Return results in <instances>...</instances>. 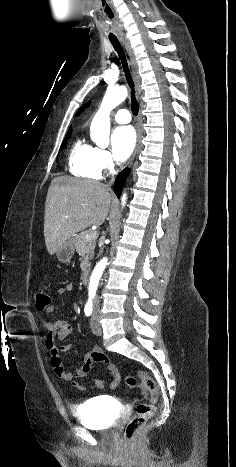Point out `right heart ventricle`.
Wrapping results in <instances>:
<instances>
[{"label": "right heart ventricle", "mask_w": 236, "mask_h": 467, "mask_svg": "<svg viewBox=\"0 0 236 467\" xmlns=\"http://www.w3.org/2000/svg\"><path fill=\"white\" fill-rule=\"evenodd\" d=\"M95 148L80 138L74 142L68 157V168L72 175L87 179L101 177L95 162Z\"/></svg>", "instance_id": "1"}]
</instances>
